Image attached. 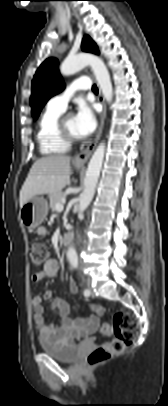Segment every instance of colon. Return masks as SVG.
Here are the masks:
<instances>
[{
    "instance_id": "1",
    "label": "colon",
    "mask_w": 168,
    "mask_h": 406,
    "mask_svg": "<svg viewBox=\"0 0 168 406\" xmlns=\"http://www.w3.org/2000/svg\"><path fill=\"white\" fill-rule=\"evenodd\" d=\"M28 253L34 266L43 265L49 256L47 246L41 243H31ZM112 331L114 333L113 340L95 347L87 358L89 364H100L115 355L121 354L135 340L138 333V323L132 314L118 311L111 321L102 325L104 334L108 335Z\"/></svg>"
}]
</instances>
